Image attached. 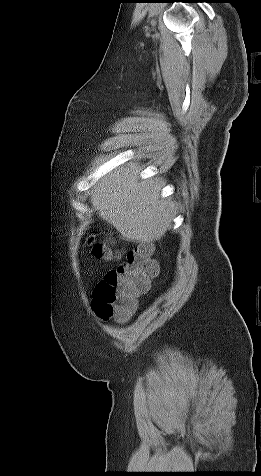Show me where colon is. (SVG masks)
<instances>
[{
    "label": "colon",
    "instance_id": "5ec220e1",
    "mask_svg": "<svg viewBox=\"0 0 261 476\" xmlns=\"http://www.w3.org/2000/svg\"><path fill=\"white\" fill-rule=\"evenodd\" d=\"M93 253L98 258L112 259L122 255L107 245L96 243ZM158 265L153 259V246L141 243L125 253V261L109 271L95 288L93 309L102 319L127 320L135 311L137 297L146 292L156 277Z\"/></svg>",
    "mask_w": 261,
    "mask_h": 476
}]
</instances>
